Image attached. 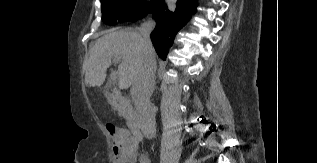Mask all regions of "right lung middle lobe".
Masks as SVG:
<instances>
[{"instance_id": "obj_1", "label": "right lung middle lobe", "mask_w": 317, "mask_h": 163, "mask_svg": "<svg viewBox=\"0 0 317 163\" xmlns=\"http://www.w3.org/2000/svg\"><path fill=\"white\" fill-rule=\"evenodd\" d=\"M102 3V20L108 25L117 22L136 21L151 12L160 0L151 2L137 0H100Z\"/></svg>"}]
</instances>
